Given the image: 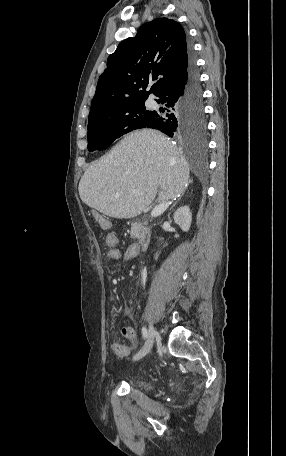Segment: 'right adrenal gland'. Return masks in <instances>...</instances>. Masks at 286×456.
<instances>
[{"mask_svg":"<svg viewBox=\"0 0 286 456\" xmlns=\"http://www.w3.org/2000/svg\"><path fill=\"white\" fill-rule=\"evenodd\" d=\"M182 195H183V194H182ZM178 201H179V199H178ZM176 203H177V202H175V203L173 204V206L171 207V209H173V208L175 207Z\"/></svg>","mask_w":286,"mask_h":456,"instance_id":"1","label":"right adrenal gland"}]
</instances>
